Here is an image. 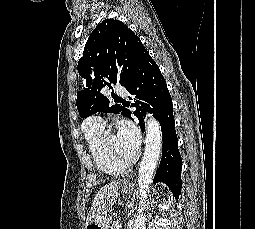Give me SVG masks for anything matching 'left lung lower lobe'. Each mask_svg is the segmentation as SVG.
Segmentation results:
<instances>
[{"instance_id": "obj_1", "label": "left lung lower lobe", "mask_w": 255, "mask_h": 229, "mask_svg": "<svg viewBox=\"0 0 255 229\" xmlns=\"http://www.w3.org/2000/svg\"><path fill=\"white\" fill-rule=\"evenodd\" d=\"M124 87L134 96L131 105L136 107L133 113L138 118L142 130H145L146 112L153 113V116L161 123L163 152L154 182L165 183L178 198L181 192L182 163L177 146L172 99L165 79L148 51L143 53ZM125 116L131 118V112L127 109H125Z\"/></svg>"}]
</instances>
